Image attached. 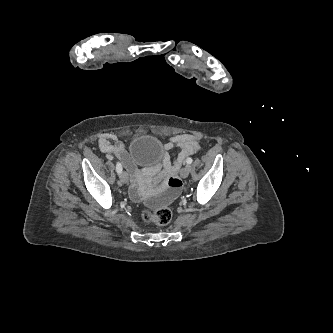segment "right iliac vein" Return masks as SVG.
<instances>
[{"mask_svg": "<svg viewBox=\"0 0 333 333\" xmlns=\"http://www.w3.org/2000/svg\"><path fill=\"white\" fill-rule=\"evenodd\" d=\"M119 178H120L121 183H123V184L127 183L128 182L127 172H125V171L121 172Z\"/></svg>", "mask_w": 333, "mask_h": 333, "instance_id": "63e3f726", "label": "right iliac vein"}]
</instances>
